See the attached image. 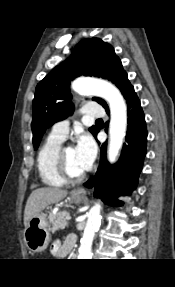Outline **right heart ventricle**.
<instances>
[{
    "label": "right heart ventricle",
    "mask_w": 175,
    "mask_h": 287,
    "mask_svg": "<svg viewBox=\"0 0 175 287\" xmlns=\"http://www.w3.org/2000/svg\"><path fill=\"white\" fill-rule=\"evenodd\" d=\"M63 140L49 135L39 148L36 160L37 171L43 184L63 187L66 181L60 176L56 166V154Z\"/></svg>",
    "instance_id": "e07e8e85"
}]
</instances>
